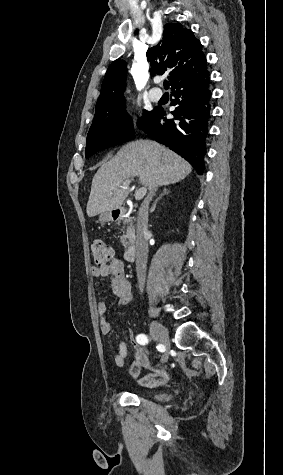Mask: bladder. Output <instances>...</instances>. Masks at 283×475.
<instances>
[{"mask_svg":"<svg viewBox=\"0 0 283 475\" xmlns=\"http://www.w3.org/2000/svg\"><path fill=\"white\" fill-rule=\"evenodd\" d=\"M164 396L167 397V398H172L174 396V394L172 392H167ZM149 398H151V397H148L147 399H149Z\"/></svg>","mask_w":283,"mask_h":475,"instance_id":"1","label":"bladder"}]
</instances>
